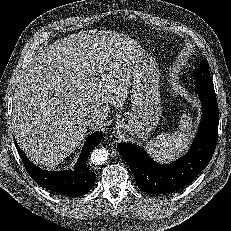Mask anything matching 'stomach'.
<instances>
[{"mask_svg": "<svg viewBox=\"0 0 231 231\" xmlns=\"http://www.w3.org/2000/svg\"><path fill=\"white\" fill-rule=\"evenodd\" d=\"M160 73L152 57L142 55L131 67V111L117 122L123 134L148 139L161 116Z\"/></svg>", "mask_w": 231, "mask_h": 231, "instance_id": "obj_1", "label": "stomach"}]
</instances>
